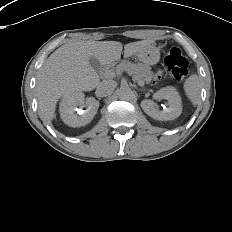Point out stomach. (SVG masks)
Instances as JSON below:
<instances>
[{
	"label": "stomach",
	"instance_id": "stomach-1",
	"mask_svg": "<svg viewBox=\"0 0 232 232\" xmlns=\"http://www.w3.org/2000/svg\"><path fill=\"white\" fill-rule=\"evenodd\" d=\"M146 65H155L159 62L160 52L154 45H148L142 51L135 54Z\"/></svg>",
	"mask_w": 232,
	"mask_h": 232
}]
</instances>
